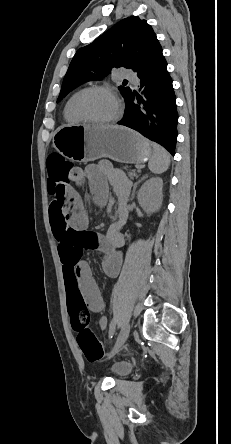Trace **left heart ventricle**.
<instances>
[{
	"mask_svg": "<svg viewBox=\"0 0 231 444\" xmlns=\"http://www.w3.org/2000/svg\"><path fill=\"white\" fill-rule=\"evenodd\" d=\"M83 112L93 120H106L116 113V103L107 93L93 91L82 101Z\"/></svg>",
	"mask_w": 231,
	"mask_h": 444,
	"instance_id": "left-heart-ventricle-1",
	"label": "left heart ventricle"
}]
</instances>
